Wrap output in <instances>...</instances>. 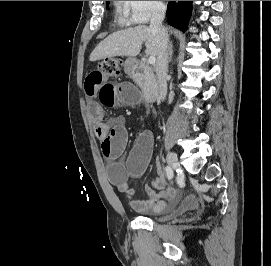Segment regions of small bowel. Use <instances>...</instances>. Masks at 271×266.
Instances as JSON below:
<instances>
[{
    "instance_id": "small-bowel-1",
    "label": "small bowel",
    "mask_w": 271,
    "mask_h": 266,
    "mask_svg": "<svg viewBox=\"0 0 271 266\" xmlns=\"http://www.w3.org/2000/svg\"><path fill=\"white\" fill-rule=\"evenodd\" d=\"M85 91L91 98L98 97V101L89 102L88 115L94 134L101 142V151L108 159L110 183L117 187L137 212H161L173 207L179 200V193L167 183L159 168L154 181L145 186L146 200H134L135 191L129 184L130 180L140 178L148 166L153 148L152 133L149 131L142 133L127 159L123 161L121 155L128 142L125 118L118 116L110 121L104 120L103 107L136 105L140 101L133 85L129 82H110L108 76L97 69L87 75Z\"/></svg>"
}]
</instances>
